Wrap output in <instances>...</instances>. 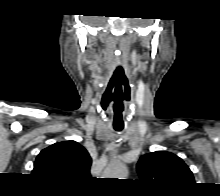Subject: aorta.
<instances>
[{"label":"aorta","mask_w":220,"mask_h":196,"mask_svg":"<svg viewBox=\"0 0 220 196\" xmlns=\"http://www.w3.org/2000/svg\"><path fill=\"white\" fill-rule=\"evenodd\" d=\"M127 167L121 162H111L104 172L105 178L125 179L127 177Z\"/></svg>","instance_id":"aorta-1"}]
</instances>
